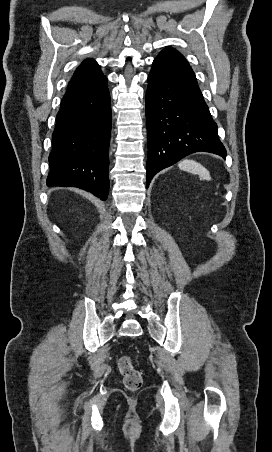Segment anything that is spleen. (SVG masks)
<instances>
[{
  "mask_svg": "<svg viewBox=\"0 0 272 452\" xmlns=\"http://www.w3.org/2000/svg\"><path fill=\"white\" fill-rule=\"evenodd\" d=\"M178 167L181 170L197 174L206 180H211L209 171L205 167H203L200 163L194 160H183L179 162Z\"/></svg>",
  "mask_w": 272,
  "mask_h": 452,
  "instance_id": "obj_1",
  "label": "spleen"
}]
</instances>
